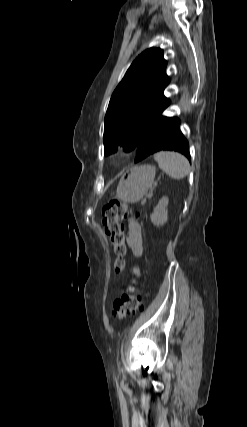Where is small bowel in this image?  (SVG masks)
<instances>
[{"instance_id":"c3829d8e","label":"small bowel","mask_w":247,"mask_h":427,"mask_svg":"<svg viewBox=\"0 0 247 427\" xmlns=\"http://www.w3.org/2000/svg\"><path fill=\"white\" fill-rule=\"evenodd\" d=\"M126 241L135 256L140 257L143 255L142 230L140 224L134 219L128 221ZM135 272L137 273L138 270H135Z\"/></svg>"}]
</instances>
